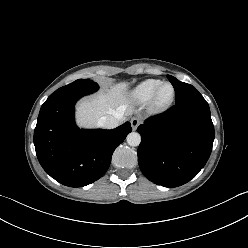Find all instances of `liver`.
<instances>
[{"mask_svg":"<svg viewBox=\"0 0 248 248\" xmlns=\"http://www.w3.org/2000/svg\"><path fill=\"white\" fill-rule=\"evenodd\" d=\"M128 87L127 82H120L107 91L81 100L77 105L79 125L95 126L101 117L114 115L117 111L123 112L125 116L131 114L133 110L125 103ZM124 115L120 121L125 119Z\"/></svg>","mask_w":248,"mask_h":248,"instance_id":"liver-1","label":"liver"}]
</instances>
